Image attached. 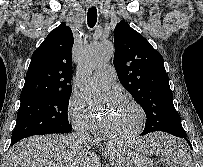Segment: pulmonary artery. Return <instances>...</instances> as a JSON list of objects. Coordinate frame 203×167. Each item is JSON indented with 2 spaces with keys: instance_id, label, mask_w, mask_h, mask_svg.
<instances>
[{
  "instance_id": "e3ab8cb5",
  "label": "pulmonary artery",
  "mask_w": 203,
  "mask_h": 167,
  "mask_svg": "<svg viewBox=\"0 0 203 167\" xmlns=\"http://www.w3.org/2000/svg\"><path fill=\"white\" fill-rule=\"evenodd\" d=\"M116 73L115 69L111 65H104L100 67L93 76V84L101 89H109L115 82Z\"/></svg>"
}]
</instances>
